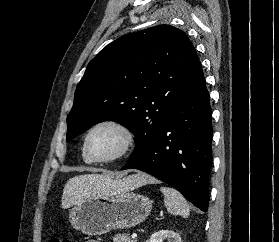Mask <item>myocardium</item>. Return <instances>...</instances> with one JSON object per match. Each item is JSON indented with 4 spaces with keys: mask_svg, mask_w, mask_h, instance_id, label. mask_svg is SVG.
Returning a JSON list of instances; mask_svg holds the SVG:
<instances>
[{
    "mask_svg": "<svg viewBox=\"0 0 279 242\" xmlns=\"http://www.w3.org/2000/svg\"><path fill=\"white\" fill-rule=\"evenodd\" d=\"M102 127H112L118 130L122 135V145L120 149L111 156L105 158H95L89 152L88 143L91 135L96 130ZM134 145H135V133L132 130V128L120 120L109 118V119H103L96 122L88 129L84 137L83 152L90 162L104 164V163H111L123 159L132 151Z\"/></svg>",
    "mask_w": 279,
    "mask_h": 242,
    "instance_id": "1",
    "label": "myocardium"
}]
</instances>
